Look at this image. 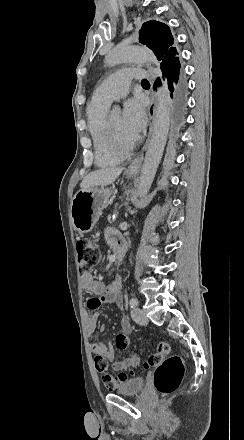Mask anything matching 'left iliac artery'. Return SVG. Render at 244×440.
<instances>
[{
	"label": "left iliac artery",
	"mask_w": 244,
	"mask_h": 440,
	"mask_svg": "<svg viewBox=\"0 0 244 440\" xmlns=\"http://www.w3.org/2000/svg\"><path fill=\"white\" fill-rule=\"evenodd\" d=\"M129 305H130L131 308L136 307V306L138 305V300H137V298L132 297V298L129 300Z\"/></svg>",
	"instance_id": "left-iliac-artery-1"
}]
</instances>
